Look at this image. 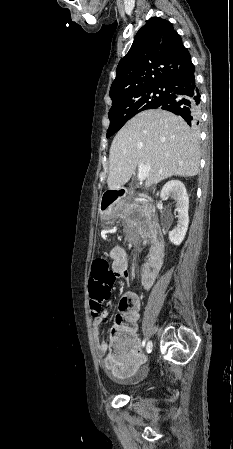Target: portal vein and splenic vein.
<instances>
[{
  "label": "portal vein and splenic vein",
  "mask_w": 233,
  "mask_h": 449,
  "mask_svg": "<svg viewBox=\"0 0 233 449\" xmlns=\"http://www.w3.org/2000/svg\"><path fill=\"white\" fill-rule=\"evenodd\" d=\"M151 166L149 164L140 162L138 164V180L140 182H142L143 180L146 179V177L148 176L149 172H150Z\"/></svg>",
  "instance_id": "1"
}]
</instances>
